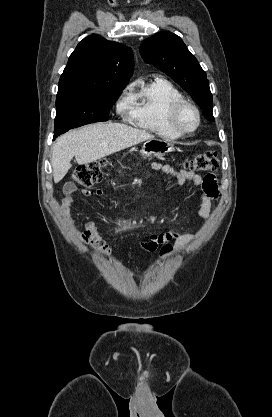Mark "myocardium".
I'll use <instances>...</instances> for the list:
<instances>
[{"instance_id": "f54148a6", "label": "myocardium", "mask_w": 272, "mask_h": 417, "mask_svg": "<svg viewBox=\"0 0 272 417\" xmlns=\"http://www.w3.org/2000/svg\"><path fill=\"white\" fill-rule=\"evenodd\" d=\"M185 108H190L196 115V124L192 129H184L179 123L180 114ZM167 123L169 127L180 136L190 135L199 128L201 123V114L198 107L194 103L183 98L174 101L169 106L167 112Z\"/></svg>"}]
</instances>
